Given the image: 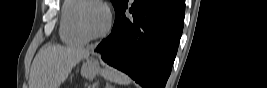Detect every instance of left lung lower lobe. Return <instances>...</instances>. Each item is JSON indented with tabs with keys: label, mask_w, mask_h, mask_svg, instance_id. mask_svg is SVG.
<instances>
[{
	"label": "left lung lower lobe",
	"mask_w": 267,
	"mask_h": 88,
	"mask_svg": "<svg viewBox=\"0 0 267 88\" xmlns=\"http://www.w3.org/2000/svg\"><path fill=\"white\" fill-rule=\"evenodd\" d=\"M128 0L115 11L111 34L95 49L144 88H164L183 30L181 0Z\"/></svg>",
	"instance_id": "left-lung-lower-lobe-1"
}]
</instances>
